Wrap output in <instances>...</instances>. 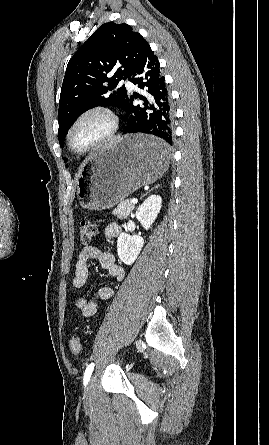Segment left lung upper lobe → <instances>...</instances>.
Listing matches in <instances>:
<instances>
[{
    "instance_id": "left-lung-upper-lobe-1",
    "label": "left lung upper lobe",
    "mask_w": 269,
    "mask_h": 445,
    "mask_svg": "<svg viewBox=\"0 0 269 445\" xmlns=\"http://www.w3.org/2000/svg\"><path fill=\"white\" fill-rule=\"evenodd\" d=\"M148 47L147 41L131 26L108 22L77 50L67 65L60 94L61 147L71 124L86 110L95 106L124 108L127 91L125 86H116L120 80L130 78ZM108 74L113 76L107 77Z\"/></svg>"
}]
</instances>
